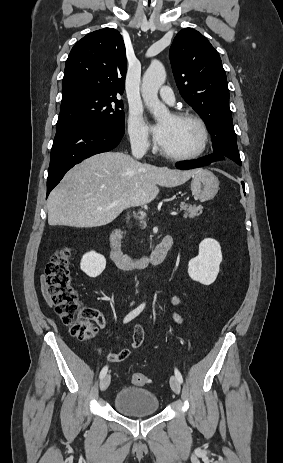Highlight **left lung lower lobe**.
Instances as JSON below:
<instances>
[{"label": "left lung lower lobe", "instance_id": "0a47b994", "mask_svg": "<svg viewBox=\"0 0 283 463\" xmlns=\"http://www.w3.org/2000/svg\"><path fill=\"white\" fill-rule=\"evenodd\" d=\"M219 160H227V161H232L230 159H228L227 157L221 155V154H217V153H213V154H210L208 156H205L203 158H200V159H197V160H194V161H183V162H178L176 164V167L178 169H184V170H187V169H193V168H198V167H203V166H206V165H209L210 163L212 162H215V161H219ZM237 164V163H236ZM239 165V164H238ZM242 185L244 186V183L241 182Z\"/></svg>", "mask_w": 283, "mask_h": 463}]
</instances>
